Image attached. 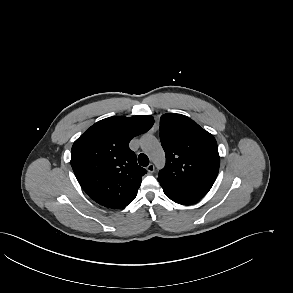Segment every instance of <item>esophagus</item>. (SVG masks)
<instances>
[{
    "instance_id": "obj_1",
    "label": "esophagus",
    "mask_w": 293,
    "mask_h": 293,
    "mask_svg": "<svg viewBox=\"0 0 293 293\" xmlns=\"http://www.w3.org/2000/svg\"><path fill=\"white\" fill-rule=\"evenodd\" d=\"M148 173H153L155 171V166L154 164H149L147 167H146Z\"/></svg>"
}]
</instances>
